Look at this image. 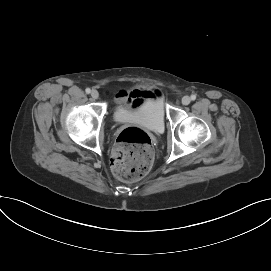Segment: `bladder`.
Instances as JSON below:
<instances>
[{
	"instance_id": "31cf9c89",
	"label": "bladder",
	"mask_w": 271,
	"mask_h": 271,
	"mask_svg": "<svg viewBox=\"0 0 271 271\" xmlns=\"http://www.w3.org/2000/svg\"><path fill=\"white\" fill-rule=\"evenodd\" d=\"M113 119L117 123H140L153 132H162L165 127L163 100L157 96L137 106L118 104L113 110Z\"/></svg>"
}]
</instances>
